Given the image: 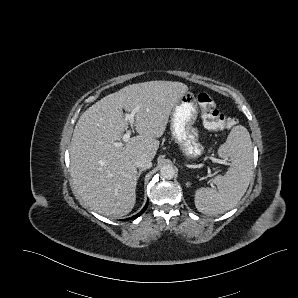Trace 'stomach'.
Here are the masks:
<instances>
[{
	"label": "stomach",
	"mask_w": 298,
	"mask_h": 298,
	"mask_svg": "<svg viewBox=\"0 0 298 298\" xmlns=\"http://www.w3.org/2000/svg\"><path fill=\"white\" fill-rule=\"evenodd\" d=\"M198 117V105L193 91L181 95L170 115L172 138L182 151L191 157L200 156L203 146L198 142V131L194 124Z\"/></svg>",
	"instance_id": "1"
}]
</instances>
